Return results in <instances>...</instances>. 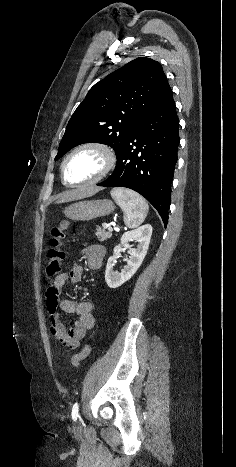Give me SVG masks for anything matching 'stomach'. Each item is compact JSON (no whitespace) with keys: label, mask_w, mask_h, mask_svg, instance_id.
Segmentation results:
<instances>
[{"label":"stomach","mask_w":236,"mask_h":467,"mask_svg":"<svg viewBox=\"0 0 236 467\" xmlns=\"http://www.w3.org/2000/svg\"><path fill=\"white\" fill-rule=\"evenodd\" d=\"M115 210V205L112 201L89 200L71 204L64 210V215L76 221H88L97 217L106 216Z\"/></svg>","instance_id":"0dacf381"}]
</instances>
